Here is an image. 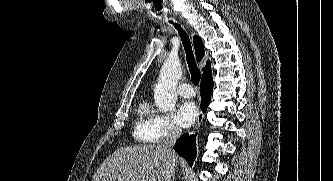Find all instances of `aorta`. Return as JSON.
I'll use <instances>...</instances> for the list:
<instances>
[{"label": "aorta", "instance_id": "obj_1", "mask_svg": "<svg viewBox=\"0 0 333 181\" xmlns=\"http://www.w3.org/2000/svg\"><path fill=\"white\" fill-rule=\"evenodd\" d=\"M181 64L178 59H167L154 89L155 104L162 112L174 109L177 102L176 87L181 77Z\"/></svg>", "mask_w": 333, "mask_h": 181}]
</instances>
